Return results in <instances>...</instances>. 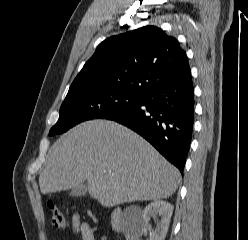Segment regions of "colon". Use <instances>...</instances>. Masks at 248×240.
<instances>
[{
	"label": "colon",
	"instance_id": "5ec220e1",
	"mask_svg": "<svg viewBox=\"0 0 248 240\" xmlns=\"http://www.w3.org/2000/svg\"><path fill=\"white\" fill-rule=\"evenodd\" d=\"M48 210L51 215L53 226L59 230H66L69 227V221L65 214L53 203H48Z\"/></svg>",
	"mask_w": 248,
	"mask_h": 240
}]
</instances>
